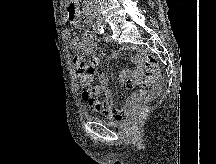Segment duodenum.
Instances as JSON below:
<instances>
[{"label": "duodenum", "instance_id": "obj_1", "mask_svg": "<svg viewBox=\"0 0 216 164\" xmlns=\"http://www.w3.org/2000/svg\"><path fill=\"white\" fill-rule=\"evenodd\" d=\"M75 0H69L68 2V7H75ZM92 9H93V5L92 4H87L86 5V12H87V16H88V21L92 22L93 19V14H92Z\"/></svg>", "mask_w": 216, "mask_h": 164}]
</instances>
